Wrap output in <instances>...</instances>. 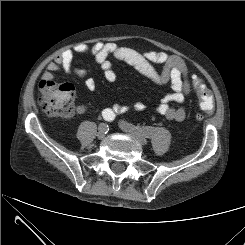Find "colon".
Returning a JSON list of instances; mask_svg holds the SVG:
<instances>
[{"label": "colon", "mask_w": 245, "mask_h": 245, "mask_svg": "<svg viewBox=\"0 0 245 245\" xmlns=\"http://www.w3.org/2000/svg\"><path fill=\"white\" fill-rule=\"evenodd\" d=\"M193 87L199 98L200 107L206 113L212 112L214 100L210 90L199 77L193 78ZM41 90L40 106L51 116L70 118L74 111V87L70 83H57L54 80H43L39 84Z\"/></svg>", "instance_id": "colon-1"}]
</instances>
